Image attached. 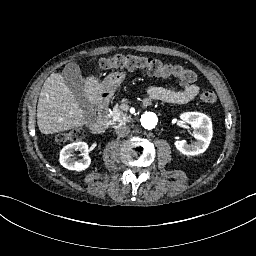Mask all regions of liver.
<instances>
[{"label":"liver","mask_w":256,"mask_h":256,"mask_svg":"<svg viewBox=\"0 0 256 256\" xmlns=\"http://www.w3.org/2000/svg\"><path fill=\"white\" fill-rule=\"evenodd\" d=\"M104 85L94 76L84 82L85 96L91 104L103 100ZM86 124L84 111L59 73H52L44 82L37 105V125L43 134L81 127Z\"/></svg>","instance_id":"obj_1"}]
</instances>
